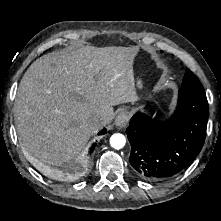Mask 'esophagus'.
Masks as SVG:
<instances>
[{"label": "esophagus", "instance_id": "1", "mask_svg": "<svg viewBox=\"0 0 221 221\" xmlns=\"http://www.w3.org/2000/svg\"><path fill=\"white\" fill-rule=\"evenodd\" d=\"M130 119V113L126 110L121 111L115 118V125L118 127H124L127 125Z\"/></svg>", "mask_w": 221, "mask_h": 221}]
</instances>
